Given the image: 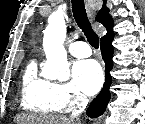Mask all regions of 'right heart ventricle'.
I'll use <instances>...</instances> for the list:
<instances>
[{
	"instance_id": "obj_1",
	"label": "right heart ventricle",
	"mask_w": 145,
	"mask_h": 124,
	"mask_svg": "<svg viewBox=\"0 0 145 124\" xmlns=\"http://www.w3.org/2000/svg\"><path fill=\"white\" fill-rule=\"evenodd\" d=\"M20 104L25 110L35 113L59 111L53 99V82L38 75L34 61L27 65L22 75Z\"/></svg>"
}]
</instances>
